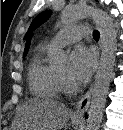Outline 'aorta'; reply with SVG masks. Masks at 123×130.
<instances>
[{"instance_id": "1", "label": "aorta", "mask_w": 123, "mask_h": 130, "mask_svg": "<svg viewBox=\"0 0 123 130\" xmlns=\"http://www.w3.org/2000/svg\"><path fill=\"white\" fill-rule=\"evenodd\" d=\"M87 17H94L98 20L102 35L100 66L92 87L91 104L86 126V130H99L115 65L117 31L113 19L108 13L100 9H94L84 3L65 7L61 12L60 23L68 25L75 20ZM65 61V52L59 50L53 59V63L55 65H62Z\"/></svg>"}]
</instances>
